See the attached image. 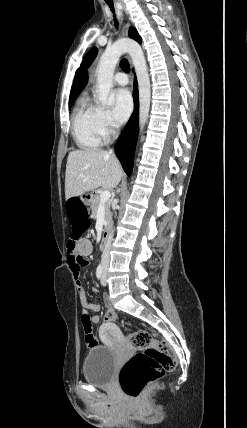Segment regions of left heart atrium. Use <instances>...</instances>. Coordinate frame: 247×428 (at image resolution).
<instances>
[{
  "instance_id": "1",
  "label": "left heart atrium",
  "mask_w": 247,
  "mask_h": 428,
  "mask_svg": "<svg viewBox=\"0 0 247 428\" xmlns=\"http://www.w3.org/2000/svg\"><path fill=\"white\" fill-rule=\"evenodd\" d=\"M132 108V98L128 90L118 89L113 93L112 114L118 122L126 121Z\"/></svg>"
}]
</instances>
